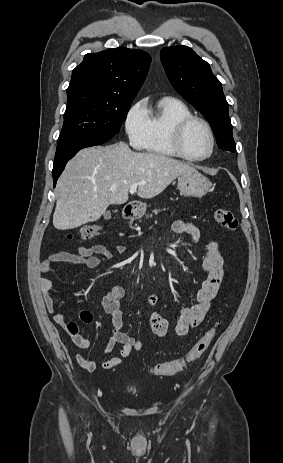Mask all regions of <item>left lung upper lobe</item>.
<instances>
[{
    "label": "left lung upper lobe",
    "mask_w": 283,
    "mask_h": 463,
    "mask_svg": "<svg viewBox=\"0 0 283 463\" xmlns=\"http://www.w3.org/2000/svg\"><path fill=\"white\" fill-rule=\"evenodd\" d=\"M161 62L175 90L209 121L219 148L234 152L236 145L220 81L210 65L187 46L163 48Z\"/></svg>",
    "instance_id": "left-lung-upper-lobe-1"
}]
</instances>
